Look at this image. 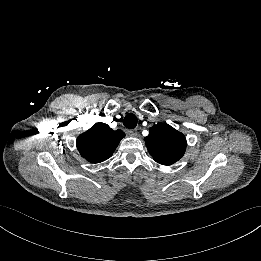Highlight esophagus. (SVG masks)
Here are the masks:
<instances>
[{
  "mask_svg": "<svg viewBox=\"0 0 261 261\" xmlns=\"http://www.w3.org/2000/svg\"><path fill=\"white\" fill-rule=\"evenodd\" d=\"M127 133H128L129 136H131V137H136V136L138 135L136 129H129V130L127 131Z\"/></svg>",
  "mask_w": 261,
  "mask_h": 261,
  "instance_id": "1",
  "label": "esophagus"
}]
</instances>
